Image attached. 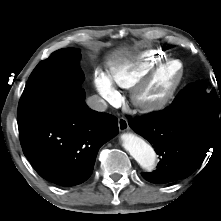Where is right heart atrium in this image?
<instances>
[{"instance_id":"right-heart-atrium-1","label":"right heart atrium","mask_w":221,"mask_h":221,"mask_svg":"<svg viewBox=\"0 0 221 221\" xmlns=\"http://www.w3.org/2000/svg\"><path fill=\"white\" fill-rule=\"evenodd\" d=\"M95 86L104 100L112 103L118 99L119 93L113 85V81L104 72L96 71Z\"/></svg>"}]
</instances>
